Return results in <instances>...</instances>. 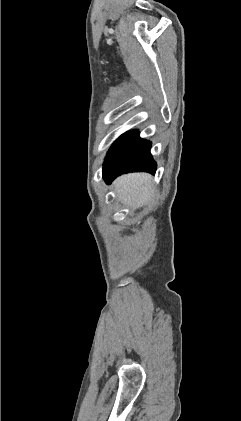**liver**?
Wrapping results in <instances>:
<instances>
[{
    "mask_svg": "<svg viewBox=\"0 0 241 421\" xmlns=\"http://www.w3.org/2000/svg\"><path fill=\"white\" fill-rule=\"evenodd\" d=\"M118 199L126 206L140 208L149 203L153 195L152 176L132 173L119 177L114 183Z\"/></svg>",
    "mask_w": 241,
    "mask_h": 421,
    "instance_id": "liver-1",
    "label": "liver"
}]
</instances>
